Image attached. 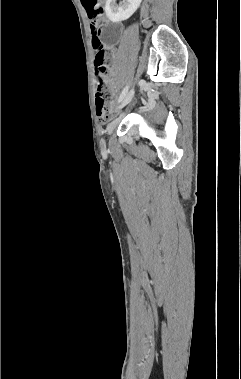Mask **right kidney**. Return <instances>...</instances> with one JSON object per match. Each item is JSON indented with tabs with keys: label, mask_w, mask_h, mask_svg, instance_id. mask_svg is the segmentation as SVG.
Listing matches in <instances>:
<instances>
[{
	"label": "right kidney",
	"mask_w": 241,
	"mask_h": 379,
	"mask_svg": "<svg viewBox=\"0 0 241 379\" xmlns=\"http://www.w3.org/2000/svg\"><path fill=\"white\" fill-rule=\"evenodd\" d=\"M142 0H123L117 5L116 0H107L105 12L108 19L113 23H118L130 18L140 6Z\"/></svg>",
	"instance_id": "1"
}]
</instances>
